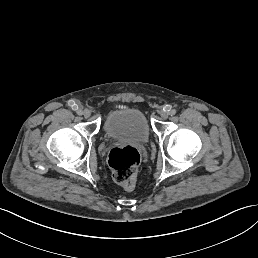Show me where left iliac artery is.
<instances>
[{
  "instance_id": "left-iliac-artery-1",
  "label": "left iliac artery",
  "mask_w": 258,
  "mask_h": 258,
  "mask_svg": "<svg viewBox=\"0 0 258 258\" xmlns=\"http://www.w3.org/2000/svg\"><path fill=\"white\" fill-rule=\"evenodd\" d=\"M176 112H177V111H176L175 109H172V110L170 111V115H171V116H174V115L176 114Z\"/></svg>"
}]
</instances>
